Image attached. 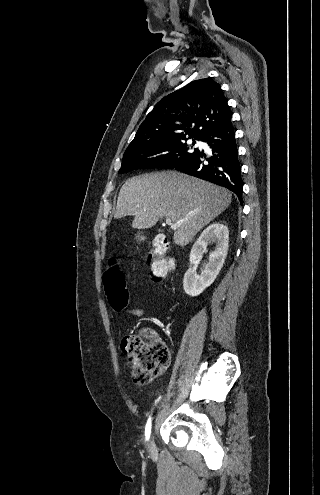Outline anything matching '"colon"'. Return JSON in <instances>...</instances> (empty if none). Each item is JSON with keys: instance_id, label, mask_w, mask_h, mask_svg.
Listing matches in <instances>:
<instances>
[{"instance_id": "colon-1", "label": "colon", "mask_w": 320, "mask_h": 495, "mask_svg": "<svg viewBox=\"0 0 320 495\" xmlns=\"http://www.w3.org/2000/svg\"><path fill=\"white\" fill-rule=\"evenodd\" d=\"M167 251V240L159 238L154 252L148 256L156 282H162L174 268V262L167 256ZM103 286L111 307L115 311H123L128 304V289L118 260L111 259L108 262L103 273ZM121 348L133 360L132 378L139 385L151 382L169 363L167 347L154 340L148 328L124 336Z\"/></svg>"}]
</instances>
